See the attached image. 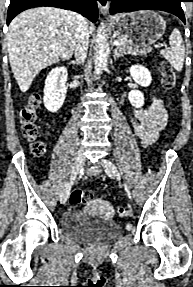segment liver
<instances>
[{
	"instance_id": "obj_1",
	"label": "liver",
	"mask_w": 193,
	"mask_h": 287,
	"mask_svg": "<svg viewBox=\"0 0 193 287\" xmlns=\"http://www.w3.org/2000/svg\"><path fill=\"white\" fill-rule=\"evenodd\" d=\"M76 29V14L55 7L29 9L12 20L7 33L8 56L22 92L42 69L72 56ZM88 31L93 32L89 23Z\"/></svg>"
}]
</instances>
